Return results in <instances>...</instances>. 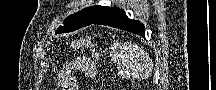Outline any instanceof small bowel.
Segmentation results:
<instances>
[{
  "label": "small bowel",
  "mask_w": 216,
  "mask_h": 90,
  "mask_svg": "<svg viewBox=\"0 0 216 90\" xmlns=\"http://www.w3.org/2000/svg\"><path fill=\"white\" fill-rule=\"evenodd\" d=\"M75 69L82 71L85 76L91 78L96 74V68L91 63H84L80 66L74 64L73 66L67 67L66 69L61 71L58 76L61 90H78L77 80L72 74V71Z\"/></svg>",
  "instance_id": "c3829d8e"
}]
</instances>
